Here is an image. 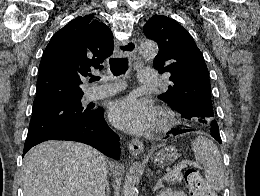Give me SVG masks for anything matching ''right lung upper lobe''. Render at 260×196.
Here are the masks:
<instances>
[{
    "label": "right lung upper lobe",
    "mask_w": 260,
    "mask_h": 196,
    "mask_svg": "<svg viewBox=\"0 0 260 196\" xmlns=\"http://www.w3.org/2000/svg\"><path fill=\"white\" fill-rule=\"evenodd\" d=\"M93 18L77 17L53 35L39 65L34 105L83 95L81 80L112 55L111 30Z\"/></svg>",
    "instance_id": "cb5924a9"
}]
</instances>
